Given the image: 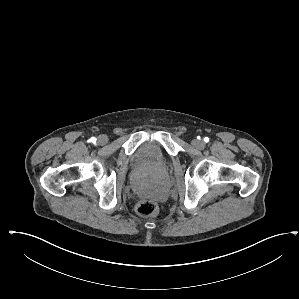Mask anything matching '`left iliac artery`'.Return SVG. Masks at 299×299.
<instances>
[{
  "mask_svg": "<svg viewBox=\"0 0 299 299\" xmlns=\"http://www.w3.org/2000/svg\"><path fill=\"white\" fill-rule=\"evenodd\" d=\"M204 141H205V142H208V141H209V138L206 137V138L204 139Z\"/></svg>",
  "mask_w": 299,
  "mask_h": 299,
  "instance_id": "obj_1",
  "label": "left iliac artery"
}]
</instances>
